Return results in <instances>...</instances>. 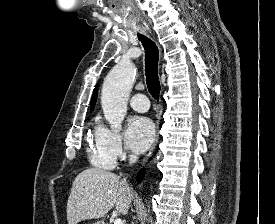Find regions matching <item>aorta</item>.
Segmentation results:
<instances>
[{
	"label": "aorta",
	"mask_w": 275,
	"mask_h": 224,
	"mask_svg": "<svg viewBox=\"0 0 275 224\" xmlns=\"http://www.w3.org/2000/svg\"><path fill=\"white\" fill-rule=\"evenodd\" d=\"M135 76V65L123 61L108 73L103 83L101 105L106 120L115 132L121 130Z\"/></svg>",
	"instance_id": "obj_1"
}]
</instances>
